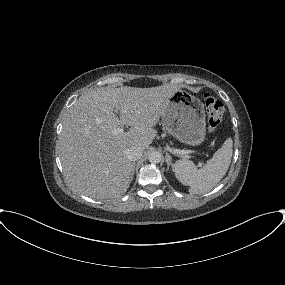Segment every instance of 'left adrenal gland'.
Returning <instances> with one entry per match:
<instances>
[{"instance_id":"left-adrenal-gland-1","label":"left adrenal gland","mask_w":285,"mask_h":285,"mask_svg":"<svg viewBox=\"0 0 285 285\" xmlns=\"http://www.w3.org/2000/svg\"><path fill=\"white\" fill-rule=\"evenodd\" d=\"M171 162H172L171 156H170L168 153H166L167 170H169V167H170V165H171Z\"/></svg>"}]
</instances>
